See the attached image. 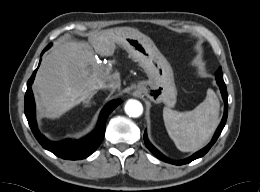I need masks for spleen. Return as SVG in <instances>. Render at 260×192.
Here are the masks:
<instances>
[{"instance_id": "spleen-1", "label": "spleen", "mask_w": 260, "mask_h": 192, "mask_svg": "<svg viewBox=\"0 0 260 192\" xmlns=\"http://www.w3.org/2000/svg\"><path fill=\"white\" fill-rule=\"evenodd\" d=\"M219 109V100L212 89H208L205 100L191 111L178 112L164 107V124L176 147L182 152L202 148L219 124Z\"/></svg>"}]
</instances>
